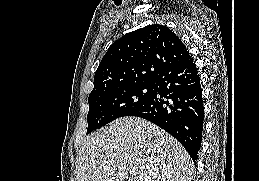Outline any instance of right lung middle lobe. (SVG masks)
<instances>
[{"label": "right lung middle lobe", "mask_w": 259, "mask_h": 181, "mask_svg": "<svg viewBox=\"0 0 259 181\" xmlns=\"http://www.w3.org/2000/svg\"><path fill=\"white\" fill-rule=\"evenodd\" d=\"M153 93V83L114 88L88 98L87 134L113 120L130 116L140 109Z\"/></svg>", "instance_id": "obj_1"}]
</instances>
